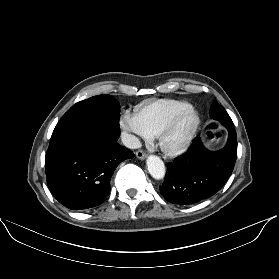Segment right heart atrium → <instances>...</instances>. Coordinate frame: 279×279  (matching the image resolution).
I'll return each instance as SVG.
<instances>
[{"label":"right heart atrium","instance_id":"right-heart-atrium-1","mask_svg":"<svg viewBox=\"0 0 279 279\" xmlns=\"http://www.w3.org/2000/svg\"><path fill=\"white\" fill-rule=\"evenodd\" d=\"M120 126L126 142L131 147H136L140 144L141 140L149 138L136 113L126 111L121 118Z\"/></svg>","mask_w":279,"mask_h":279}]
</instances>
